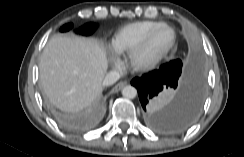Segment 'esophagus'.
I'll use <instances>...</instances> for the list:
<instances>
[{"instance_id":"34e87169","label":"esophagus","mask_w":244,"mask_h":157,"mask_svg":"<svg viewBox=\"0 0 244 157\" xmlns=\"http://www.w3.org/2000/svg\"><path fill=\"white\" fill-rule=\"evenodd\" d=\"M127 85V81H122L119 82L118 84H116L112 89H111V93H117L118 91H120L123 87H125Z\"/></svg>"}]
</instances>
